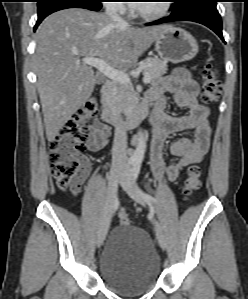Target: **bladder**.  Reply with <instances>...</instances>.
I'll return each mask as SVG.
<instances>
[{
    "label": "bladder",
    "mask_w": 248,
    "mask_h": 299,
    "mask_svg": "<svg viewBox=\"0 0 248 299\" xmlns=\"http://www.w3.org/2000/svg\"><path fill=\"white\" fill-rule=\"evenodd\" d=\"M99 273L110 287L125 295L149 290L161 273V262L150 235L128 225L115 227L100 256Z\"/></svg>",
    "instance_id": "obj_1"
}]
</instances>
